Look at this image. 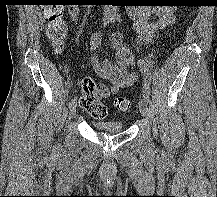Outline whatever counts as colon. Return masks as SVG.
Returning <instances> with one entry per match:
<instances>
[{"instance_id":"obj_1","label":"colon","mask_w":217,"mask_h":197,"mask_svg":"<svg viewBox=\"0 0 217 197\" xmlns=\"http://www.w3.org/2000/svg\"><path fill=\"white\" fill-rule=\"evenodd\" d=\"M43 13L48 19L47 36L55 51H61L67 37V23L64 19V4L62 0H44ZM82 108L94 119L103 120L107 115V108L101 102L108 93L106 86L86 78L82 81ZM127 98L119 97L115 100V106L120 111L130 108Z\"/></svg>"}]
</instances>
